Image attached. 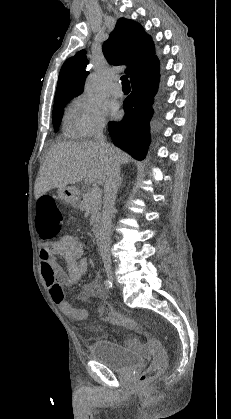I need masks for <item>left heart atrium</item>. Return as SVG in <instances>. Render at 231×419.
<instances>
[{
    "label": "left heart atrium",
    "instance_id": "39dd6f15",
    "mask_svg": "<svg viewBox=\"0 0 231 419\" xmlns=\"http://www.w3.org/2000/svg\"><path fill=\"white\" fill-rule=\"evenodd\" d=\"M108 110H109V113H110L112 116H116V115H117V113H118V111H117V107H116L115 105H110V106H109V108H108Z\"/></svg>",
    "mask_w": 231,
    "mask_h": 419
}]
</instances>
